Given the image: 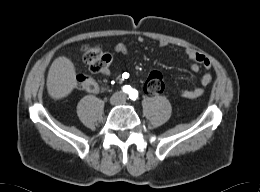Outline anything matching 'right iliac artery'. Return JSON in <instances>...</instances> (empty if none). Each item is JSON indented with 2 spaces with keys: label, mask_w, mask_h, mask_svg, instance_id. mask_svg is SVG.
Segmentation results:
<instances>
[{
  "label": "right iliac artery",
  "mask_w": 260,
  "mask_h": 192,
  "mask_svg": "<svg viewBox=\"0 0 260 192\" xmlns=\"http://www.w3.org/2000/svg\"><path fill=\"white\" fill-rule=\"evenodd\" d=\"M122 91H123L124 93L129 94L130 91H131V87L128 86V85H125V86L122 87Z\"/></svg>",
  "instance_id": "right-iliac-artery-1"
}]
</instances>
